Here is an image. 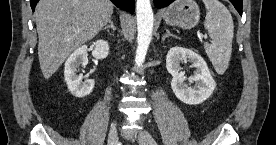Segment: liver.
Here are the masks:
<instances>
[{"label": "liver", "instance_id": "obj_1", "mask_svg": "<svg viewBox=\"0 0 276 145\" xmlns=\"http://www.w3.org/2000/svg\"><path fill=\"white\" fill-rule=\"evenodd\" d=\"M109 0H40L35 9L38 58L49 79L79 46L94 38L109 22Z\"/></svg>", "mask_w": 276, "mask_h": 145}]
</instances>
